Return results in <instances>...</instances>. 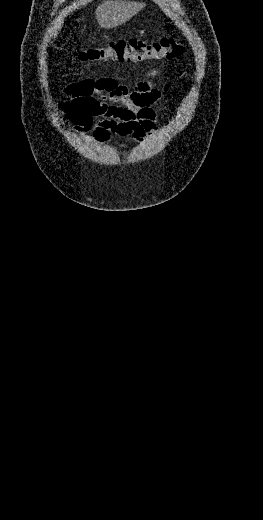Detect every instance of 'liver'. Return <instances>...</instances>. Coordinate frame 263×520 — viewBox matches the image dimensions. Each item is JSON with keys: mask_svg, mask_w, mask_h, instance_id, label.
<instances>
[{"mask_svg": "<svg viewBox=\"0 0 263 520\" xmlns=\"http://www.w3.org/2000/svg\"><path fill=\"white\" fill-rule=\"evenodd\" d=\"M145 7L143 2L126 0H105L95 10L96 19L102 28L117 27Z\"/></svg>", "mask_w": 263, "mask_h": 520, "instance_id": "6515ba94", "label": "liver"}]
</instances>
